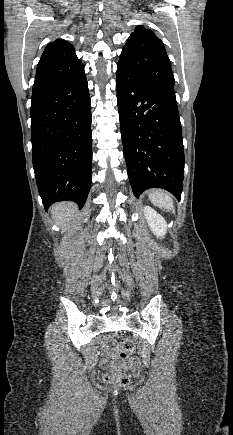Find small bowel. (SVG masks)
Returning a JSON list of instances; mask_svg holds the SVG:
<instances>
[{"instance_id":"small-bowel-1","label":"small bowel","mask_w":233,"mask_h":435,"mask_svg":"<svg viewBox=\"0 0 233 435\" xmlns=\"http://www.w3.org/2000/svg\"><path fill=\"white\" fill-rule=\"evenodd\" d=\"M111 352V348L108 345L103 346L102 348V353L106 356L110 355ZM110 365V362L108 359H103L100 362V369L104 370L106 368H108ZM122 368H138V361L136 358H131L128 363L121 365Z\"/></svg>"}]
</instances>
